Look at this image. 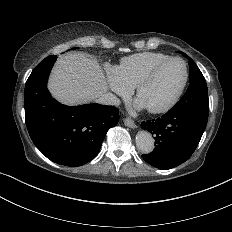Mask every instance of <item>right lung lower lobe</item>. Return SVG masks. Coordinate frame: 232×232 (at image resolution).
<instances>
[{
  "label": "right lung lower lobe",
  "instance_id": "1",
  "mask_svg": "<svg viewBox=\"0 0 232 232\" xmlns=\"http://www.w3.org/2000/svg\"><path fill=\"white\" fill-rule=\"evenodd\" d=\"M57 56L42 60L25 85V121L35 146L51 161L81 166L98 154L107 131L117 125L114 106L88 104L69 107L47 90L49 73Z\"/></svg>",
  "mask_w": 232,
  "mask_h": 232
}]
</instances>
